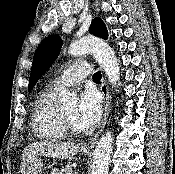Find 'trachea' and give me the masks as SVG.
Segmentation results:
<instances>
[{
  "instance_id": "3493384b",
  "label": "trachea",
  "mask_w": 175,
  "mask_h": 174,
  "mask_svg": "<svg viewBox=\"0 0 175 174\" xmlns=\"http://www.w3.org/2000/svg\"><path fill=\"white\" fill-rule=\"evenodd\" d=\"M102 75H101V71H97L94 75H93V80L94 81H100Z\"/></svg>"
}]
</instances>
